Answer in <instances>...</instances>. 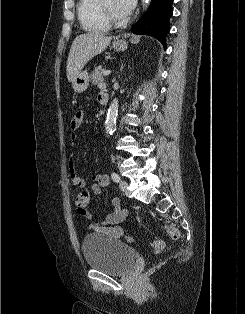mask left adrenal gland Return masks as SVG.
<instances>
[{"instance_id": "1", "label": "left adrenal gland", "mask_w": 245, "mask_h": 314, "mask_svg": "<svg viewBox=\"0 0 245 314\" xmlns=\"http://www.w3.org/2000/svg\"><path fill=\"white\" fill-rule=\"evenodd\" d=\"M120 70H121V72H122V70H123V64L121 65V69H120Z\"/></svg>"}]
</instances>
